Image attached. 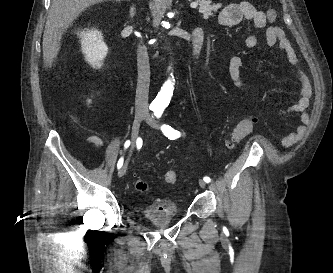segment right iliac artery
<instances>
[{"mask_svg":"<svg viewBox=\"0 0 333 273\" xmlns=\"http://www.w3.org/2000/svg\"><path fill=\"white\" fill-rule=\"evenodd\" d=\"M130 140H127L126 142H125V144H124V148L125 149H127L129 146H130ZM123 161H124V159H123V157H121L120 159H119V161H118V163H117V168L118 169H120L121 167H122V165H123Z\"/></svg>","mask_w":333,"mask_h":273,"instance_id":"82829eb1","label":"right iliac artery"}]
</instances>
